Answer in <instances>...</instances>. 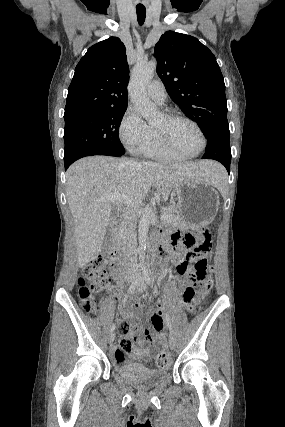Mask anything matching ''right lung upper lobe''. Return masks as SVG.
I'll return each instance as SVG.
<instances>
[{"mask_svg": "<svg viewBox=\"0 0 285 427\" xmlns=\"http://www.w3.org/2000/svg\"><path fill=\"white\" fill-rule=\"evenodd\" d=\"M129 71L126 48L110 37L88 49L75 68L64 119L107 109L127 108Z\"/></svg>", "mask_w": 285, "mask_h": 427, "instance_id": "obj_1", "label": "right lung upper lobe"}]
</instances>
